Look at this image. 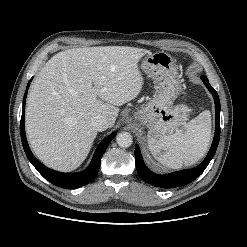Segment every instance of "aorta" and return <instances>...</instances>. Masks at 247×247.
<instances>
[{
  "label": "aorta",
  "mask_w": 247,
  "mask_h": 247,
  "mask_svg": "<svg viewBox=\"0 0 247 247\" xmlns=\"http://www.w3.org/2000/svg\"><path fill=\"white\" fill-rule=\"evenodd\" d=\"M116 142L120 147L127 148L131 146L133 138L129 132H120L116 137Z\"/></svg>",
  "instance_id": "1"
}]
</instances>
